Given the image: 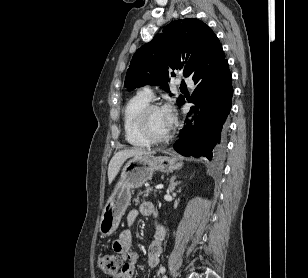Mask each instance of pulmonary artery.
<instances>
[{
	"mask_svg": "<svg viewBox=\"0 0 308 278\" xmlns=\"http://www.w3.org/2000/svg\"><path fill=\"white\" fill-rule=\"evenodd\" d=\"M184 83L191 88L194 87V82L191 78H185ZM139 94L148 99L149 101L152 100V98L154 97L153 92L149 87L142 88Z\"/></svg>",
	"mask_w": 308,
	"mask_h": 278,
	"instance_id": "pulmonary-artery-1",
	"label": "pulmonary artery"
}]
</instances>
